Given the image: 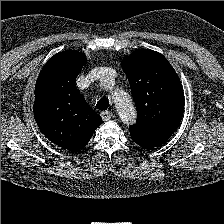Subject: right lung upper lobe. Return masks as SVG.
I'll use <instances>...</instances> for the list:
<instances>
[{
	"label": "right lung upper lobe",
	"mask_w": 224,
	"mask_h": 224,
	"mask_svg": "<svg viewBox=\"0 0 224 224\" xmlns=\"http://www.w3.org/2000/svg\"><path fill=\"white\" fill-rule=\"evenodd\" d=\"M86 55L67 50L54 55L41 70L35 85L34 117L54 144L79 151L102 123L75 85Z\"/></svg>",
	"instance_id": "1"
}]
</instances>
